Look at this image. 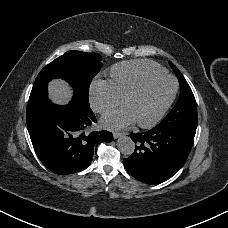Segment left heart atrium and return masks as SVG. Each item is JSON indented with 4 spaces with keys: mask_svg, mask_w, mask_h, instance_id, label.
<instances>
[{
    "mask_svg": "<svg viewBox=\"0 0 228 228\" xmlns=\"http://www.w3.org/2000/svg\"><path fill=\"white\" fill-rule=\"evenodd\" d=\"M135 121V117L131 110L126 107L110 113L107 124L113 127H124Z\"/></svg>",
    "mask_w": 228,
    "mask_h": 228,
    "instance_id": "left-heart-atrium-1",
    "label": "left heart atrium"
}]
</instances>
